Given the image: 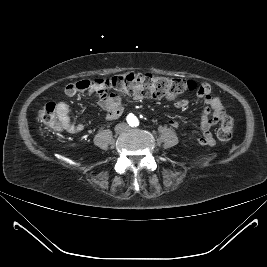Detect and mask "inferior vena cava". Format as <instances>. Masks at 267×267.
Instances as JSON below:
<instances>
[{"label":"inferior vena cava","mask_w":267,"mask_h":267,"mask_svg":"<svg viewBox=\"0 0 267 267\" xmlns=\"http://www.w3.org/2000/svg\"><path fill=\"white\" fill-rule=\"evenodd\" d=\"M126 129H127V125L124 124V123H122V124H118V125L116 126V131H118V132H121V131L126 130Z\"/></svg>","instance_id":"602c4592"}]
</instances>
